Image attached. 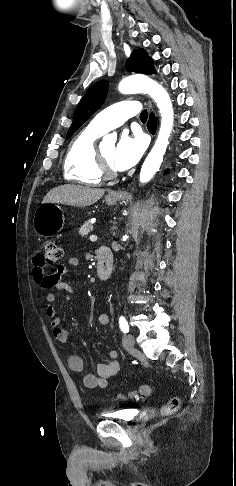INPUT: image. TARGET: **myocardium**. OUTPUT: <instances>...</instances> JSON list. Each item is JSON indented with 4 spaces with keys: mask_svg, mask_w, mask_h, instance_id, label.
I'll use <instances>...</instances> for the list:
<instances>
[{
    "mask_svg": "<svg viewBox=\"0 0 236 486\" xmlns=\"http://www.w3.org/2000/svg\"><path fill=\"white\" fill-rule=\"evenodd\" d=\"M95 161L97 170L102 179L111 180L117 176L115 169L111 168L102 158L99 150H95Z\"/></svg>",
    "mask_w": 236,
    "mask_h": 486,
    "instance_id": "myocardium-1",
    "label": "myocardium"
}]
</instances>
